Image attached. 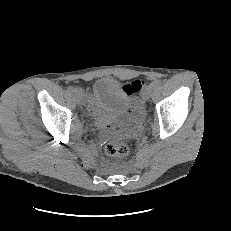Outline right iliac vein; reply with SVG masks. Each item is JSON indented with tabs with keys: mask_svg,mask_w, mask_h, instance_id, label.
<instances>
[{
	"mask_svg": "<svg viewBox=\"0 0 231 231\" xmlns=\"http://www.w3.org/2000/svg\"><path fill=\"white\" fill-rule=\"evenodd\" d=\"M74 96H75L76 101L78 102V104H81L82 100H83V92H82V90L79 89V88H76L74 90Z\"/></svg>",
	"mask_w": 231,
	"mask_h": 231,
	"instance_id": "right-iliac-vein-1",
	"label": "right iliac vein"
}]
</instances>
